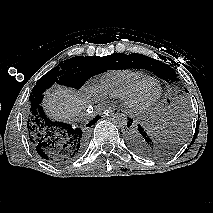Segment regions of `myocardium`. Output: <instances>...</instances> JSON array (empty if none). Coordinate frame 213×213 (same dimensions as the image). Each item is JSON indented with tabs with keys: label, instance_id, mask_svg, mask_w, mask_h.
Returning a JSON list of instances; mask_svg holds the SVG:
<instances>
[{
	"label": "myocardium",
	"instance_id": "1",
	"mask_svg": "<svg viewBox=\"0 0 213 213\" xmlns=\"http://www.w3.org/2000/svg\"><path fill=\"white\" fill-rule=\"evenodd\" d=\"M162 94L160 83L150 79L127 95L125 104L133 111L145 110L156 104Z\"/></svg>",
	"mask_w": 213,
	"mask_h": 213
}]
</instances>
